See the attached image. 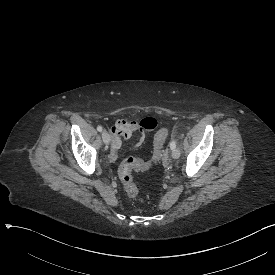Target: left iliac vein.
Listing matches in <instances>:
<instances>
[{
  "label": "left iliac vein",
  "instance_id": "4c4485c4",
  "mask_svg": "<svg viewBox=\"0 0 275 275\" xmlns=\"http://www.w3.org/2000/svg\"><path fill=\"white\" fill-rule=\"evenodd\" d=\"M171 156L173 159H178L180 156V151L178 148L172 150Z\"/></svg>",
  "mask_w": 275,
  "mask_h": 275
}]
</instances>
